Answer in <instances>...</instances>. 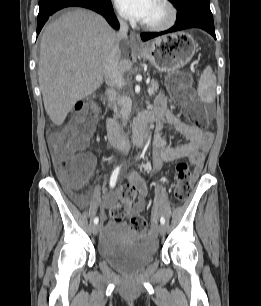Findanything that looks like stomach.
Segmentation results:
<instances>
[{"label": "stomach", "instance_id": "obj_1", "mask_svg": "<svg viewBox=\"0 0 261 306\" xmlns=\"http://www.w3.org/2000/svg\"><path fill=\"white\" fill-rule=\"evenodd\" d=\"M197 50V44L186 32L155 38L136 53L149 61L159 72L170 73L185 66Z\"/></svg>", "mask_w": 261, "mask_h": 306}]
</instances>
